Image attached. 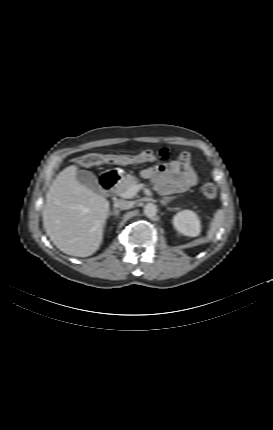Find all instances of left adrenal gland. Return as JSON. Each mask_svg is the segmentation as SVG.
Listing matches in <instances>:
<instances>
[{
    "label": "left adrenal gland",
    "mask_w": 273,
    "mask_h": 430,
    "mask_svg": "<svg viewBox=\"0 0 273 430\" xmlns=\"http://www.w3.org/2000/svg\"><path fill=\"white\" fill-rule=\"evenodd\" d=\"M172 199L173 197H164L162 200H160V203L165 206Z\"/></svg>",
    "instance_id": "left-adrenal-gland-1"
}]
</instances>
